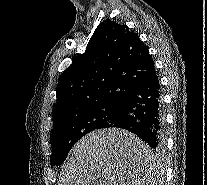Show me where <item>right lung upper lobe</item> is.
<instances>
[{"instance_id": "obj_1", "label": "right lung upper lobe", "mask_w": 207, "mask_h": 185, "mask_svg": "<svg viewBox=\"0 0 207 185\" xmlns=\"http://www.w3.org/2000/svg\"><path fill=\"white\" fill-rule=\"evenodd\" d=\"M156 74L148 49L126 25L100 23L86 51L61 74L53 122L110 103H119L133 85Z\"/></svg>"}]
</instances>
